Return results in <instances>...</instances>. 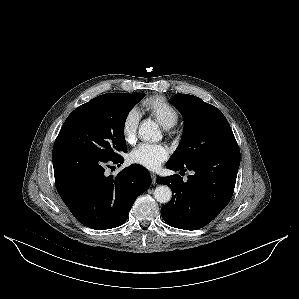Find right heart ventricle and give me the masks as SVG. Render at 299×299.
Instances as JSON below:
<instances>
[{
  "label": "right heart ventricle",
  "instance_id": "1",
  "mask_svg": "<svg viewBox=\"0 0 299 299\" xmlns=\"http://www.w3.org/2000/svg\"><path fill=\"white\" fill-rule=\"evenodd\" d=\"M142 109L166 129L176 125L180 117L178 110L161 96H155L144 101Z\"/></svg>",
  "mask_w": 299,
  "mask_h": 299
}]
</instances>
